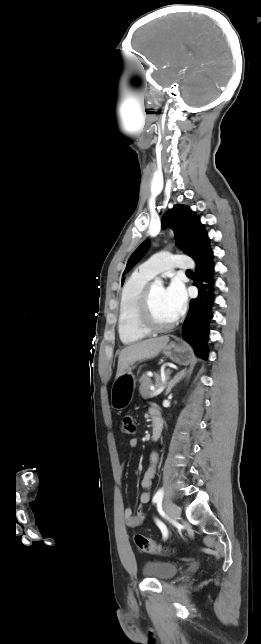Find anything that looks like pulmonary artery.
Wrapping results in <instances>:
<instances>
[{
    "label": "pulmonary artery",
    "instance_id": "1",
    "mask_svg": "<svg viewBox=\"0 0 261 644\" xmlns=\"http://www.w3.org/2000/svg\"><path fill=\"white\" fill-rule=\"evenodd\" d=\"M194 263L188 256L161 252L139 266V271L154 277L155 275L174 269H191Z\"/></svg>",
    "mask_w": 261,
    "mask_h": 644
}]
</instances>
